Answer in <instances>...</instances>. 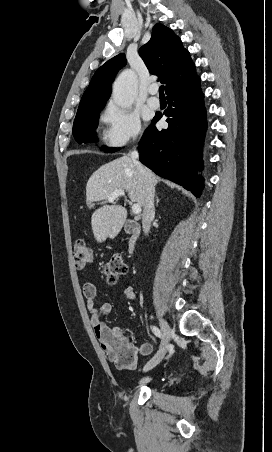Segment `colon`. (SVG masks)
I'll return each instance as SVG.
<instances>
[{
    "mask_svg": "<svg viewBox=\"0 0 272 452\" xmlns=\"http://www.w3.org/2000/svg\"><path fill=\"white\" fill-rule=\"evenodd\" d=\"M73 258L75 267L82 269L94 261V253L86 241L77 240L73 246ZM127 270L124 257L120 254L113 255L103 267V273L109 284L115 283L117 277L125 274ZM105 351L117 368L135 369L137 364L135 348L125 335L108 337Z\"/></svg>",
    "mask_w": 272,
    "mask_h": 452,
    "instance_id": "5ec220e1",
    "label": "colon"
}]
</instances>
